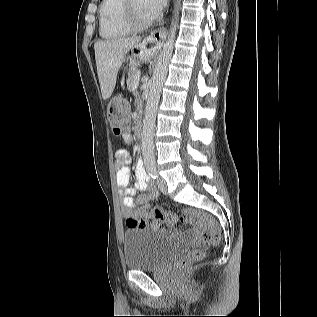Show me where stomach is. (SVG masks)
I'll use <instances>...</instances> for the list:
<instances>
[{"label": "stomach", "mask_w": 317, "mask_h": 317, "mask_svg": "<svg viewBox=\"0 0 317 317\" xmlns=\"http://www.w3.org/2000/svg\"><path fill=\"white\" fill-rule=\"evenodd\" d=\"M124 64L122 68H118L117 72L114 73V87L115 91H127L128 77L135 71V66H140L141 56L140 55H125Z\"/></svg>", "instance_id": "obj_1"}]
</instances>
